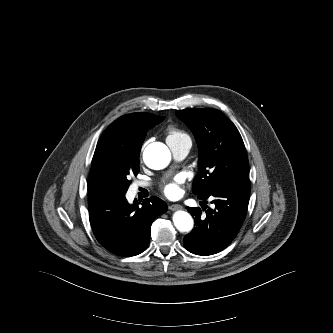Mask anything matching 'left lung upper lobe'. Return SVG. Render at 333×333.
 <instances>
[{
  "label": "left lung upper lobe",
  "instance_id": "5c2ea615",
  "mask_svg": "<svg viewBox=\"0 0 333 333\" xmlns=\"http://www.w3.org/2000/svg\"><path fill=\"white\" fill-rule=\"evenodd\" d=\"M176 115L191 128L200 150L192 191L207 195L228 185L249 183V163L235 125L215 109H186Z\"/></svg>",
  "mask_w": 333,
  "mask_h": 333
}]
</instances>
